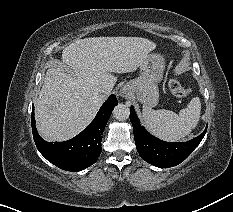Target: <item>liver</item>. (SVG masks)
Wrapping results in <instances>:
<instances>
[{
  "label": "liver",
  "mask_w": 233,
  "mask_h": 212,
  "mask_svg": "<svg viewBox=\"0 0 233 212\" xmlns=\"http://www.w3.org/2000/svg\"><path fill=\"white\" fill-rule=\"evenodd\" d=\"M156 48L141 37H92L77 39L62 51L61 66L49 68L35 104L36 126L47 141H65L81 132L105 100L98 88L112 90L114 73L134 72Z\"/></svg>",
  "instance_id": "6515ba94"
}]
</instances>
